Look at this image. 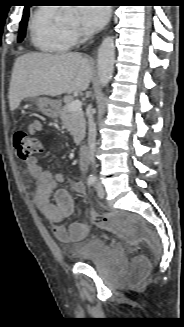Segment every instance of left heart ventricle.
<instances>
[{
  "label": "left heart ventricle",
  "mask_w": 184,
  "mask_h": 327,
  "mask_svg": "<svg viewBox=\"0 0 184 327\" xmlns=\"http://www.w3.org/2000/svg\"><path fill=\"white\" fill-rule=\"evenodd\" d=\"M74 25V23L70 24L69 27H72Z\"/></svg>",
  "instance_id": "b2bd125f"
}]
</instances>
